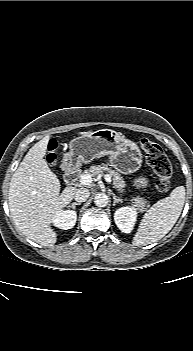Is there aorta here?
I'll list each match as a JSON object with an SVG mask.
<instances>
[{
	"label": "aorta",
	"instance_id": "obj_1",
	"mask_svg": "<svg viewBox=\"0 0 193 351\" xmlns=\"http://www.w3.org/2000/svg\"><path fill=\"white\" fill-rule=\"evenodd\" d=\"M109 199L105 193H97L94 197V203L98 207H106L108 205Z\"/></svg>",
	"mask_w": 193,
	"mask_h": 351
}]
</instances>
